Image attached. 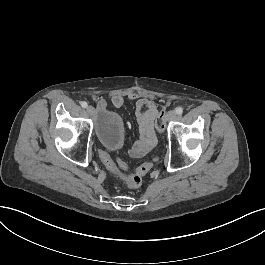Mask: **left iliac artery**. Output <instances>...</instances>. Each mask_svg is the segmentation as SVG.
I'll use <instances>...</instances> for the list:
<instances>
[{
  "label": "left iliac artery",
  "instance_id": "44dca946",
  "mask_svg": "<svg viewBox=\"0 0 265 265\" xmlns=\"http://www.w3.org/2000/svg\"><path fill=\"white\" fill-rule=\"evenodd\" d=\"M175 112H176V114L181 115L183 113V108L182 107H177L175 109Z\"/></svg>",
  "mask_w": 265,
  "mask_h": 265
}]
</instances>
